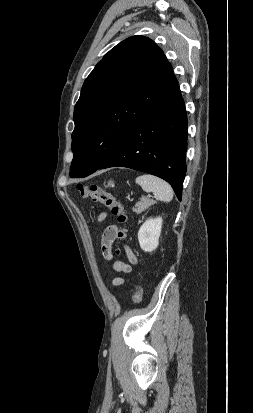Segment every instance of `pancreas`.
Wrapping results in <instances>:
<instances>
[{
	"label": "pancreas",
	"mask_w": 253,
	"mask_h": 413,
	"mask_svg": "<svg viewBox=\"0 0 253 413\" xmlns=\"http://www.w3.org/2000/svg\"><path fill=\"white\" fill-rule=\"evenodd\" d=\"M154 204L153 200H150L146 197L142 198L139 202L135 204V208H133V212L140 214L144 212L149 206Z\"/></svg>",
	"instance_id": "1"
}]
</instances>
